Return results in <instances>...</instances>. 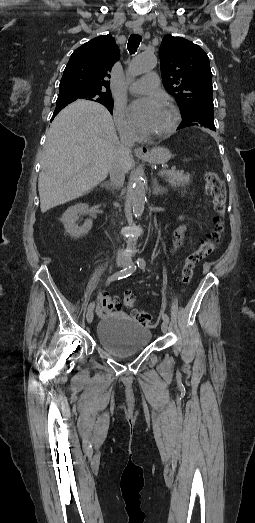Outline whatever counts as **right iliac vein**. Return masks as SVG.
<instances>
[{
  "instance_id": "63e3f726",
  "label": "right iliac vein",
  "mask_w": 255,
  "mask_h": 523,
  "mask_svg": "<svg viewBox=\"0 0 255 523\" xmlns=\"http://www.w3.org/2000/svg\"><path fill=\"white\" fill-rule=\"evenodd\" d=\"M116 264L118 267H125L128 265V263L122 258H118L116 261ZM93 317H94L93 310H88L86 319L89 324L93 321Z\"/></svg>"
}]
</instances>
